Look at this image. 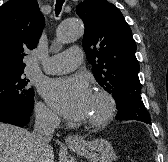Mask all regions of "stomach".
Here are the masks:
<instances>
[{"label": "stomach", "mask_w": 168, "mask_h": 162, "mask_svg": "<svg viewBox=\"0 0 168 162\" xmlns=\"http://www.w3.org/2000/svg\"><path fill=\"white\" fill-rule=\"evenodd\" d=\"M77 154L86 157L91 162H113L115 152L112 145L105 139L86 141L82 146H69Z\"/></svg>", "instance_id": "1"}]
</instances>
